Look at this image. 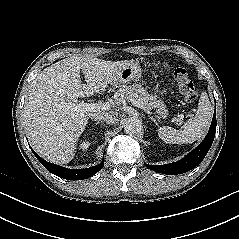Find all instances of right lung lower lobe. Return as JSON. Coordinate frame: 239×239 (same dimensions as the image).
I'll return each instance as SVG.
<instances>
[{"mask_svg":"<svg viewBox=\"0 0 239 239\" xmlns=\"http://www.w3.org/2000/svg\"><path fill=\"white\" fill-rule=\"evenodd\" d=\"M31 148V147H30ZM32 152L36 158L41 162V164L52 174L67 179V180H82L86 179L95 173H97L103 166L104 163H100L96 166L85 168V169H68L61 167L59 165L51 164L44 159H42L32 148Z\"/></svg>","mask_w":239,"mask_h":239,"instance_id":"right-lung-lower-lobe-1","label":"right lung lower lobe"}]
</instances>
